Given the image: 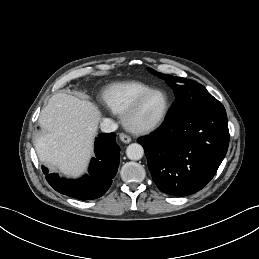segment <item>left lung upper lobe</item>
Segmentation results:
<instances>
[{
    "mask_svg": "<svg viewBox=\"0 0 259 259\" xmlns=\"http://www.w3.org/2000/svg\"><path fill=\"white\" fill-rule=\"evenodd\" d=\"M149 70L160 78L165 79L167 84L175 92L176 100L166 119L176 118L198 109L214 106L220 103L203 85L195 81L157 73L153 69Z\"/></svg>",
    "mask_w": 259,
    "mask_h": 259,
    "instance_id": "left-lung-upper-lobe-1",
    "label": "left lung upper lobe"
}]
</instances>
